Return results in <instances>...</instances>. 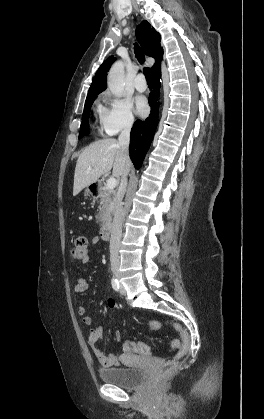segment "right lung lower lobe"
Masks as SVG:
<instances>
[{
	"label": "right lung lower lobe",
	"instance_id": "1",
	"mask_svg": "<svg viewBox=\"0 0 264 419\" xmlns=\"http://www.w3.org/2000/svg\"><path fill=\"white\" fill-rule=\"evenodd\" d=\"M160 76L161 71L153 74L154 89L149 96L151 114L146 120H137L131 130L129 152L136 169L141 167L157 127L159 109L157 99L160 90Z\"/></svg>",
	"mask_w": 264,
	"mask_h": 419
}]
</instances>
